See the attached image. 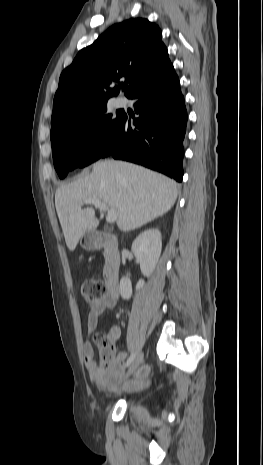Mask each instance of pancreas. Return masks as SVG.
I'll use <instances>...</instances> for the list:
<instances>
[{
  "label": "pancreas",
  "instance_id": "pancreas-1",
  "mask_svg": "<svg viewBox=\"0 0 263 465\" xmlns=\"http://www.w3.org/2000/svg\"><path fill=\"white\" fill-rule=\"evenodd\" d=\"M108 253L105 251L104 252V257L107 258Z\"/></svg>",
  "mask_w": 263,
  "mask_h": 465
}]
</instances>
